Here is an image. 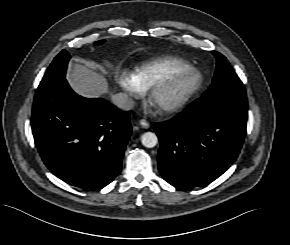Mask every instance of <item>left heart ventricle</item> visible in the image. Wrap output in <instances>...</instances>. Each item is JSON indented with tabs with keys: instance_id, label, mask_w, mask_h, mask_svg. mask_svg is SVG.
Wrapping results in <instances>:
<instances>
[{
	"instance_id": "left-heart-ventricle-1",
	"label": "left heart ventricle",
	"mask_w": 290,
	"mask_h": 245,
	"mask_svg": "<svg viewBox=\"0 0 290 245\" xmlns=\"http://www.w3.org/2000/svg\"><path fill=\"white\" fill-rule=\"evenodd\" d=\"M193 78L190 76L180 79L175 85L163 91L159 96V105L172 103L180 97L191 85Z\"/></svg>"
}]
</instances>
